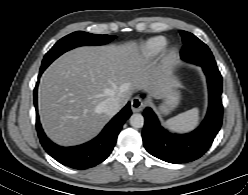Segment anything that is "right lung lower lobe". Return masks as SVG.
<instances>
[{"label": "right lung lower lobe", "instance_id": "1", "mask_svg": "<svg viewBox=\"0 0 248 195\" xmlns=\"http://www.w3.org/2000/svg\"><path fill=\"white\" fill-rule=\"evenodd\" d=\"M45 69V67H41L40 75ZM37 87L38 83L34 90L36 127L40 142L45 151L61 164L74 169L91 168L104 161L112 152L124 122L131 115L130 103L112 118L102 132L93 140L74 147H61L50 141L41 127L37 109Z\"/></svg>", "mask_w": 248, "mask_h": 195}]
</instances>
